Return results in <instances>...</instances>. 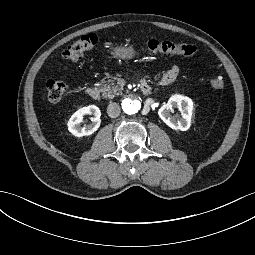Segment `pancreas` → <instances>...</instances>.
Segmentation results:
<instances>
[{
  "instance_id": "obj_1",
  "label": "pancreas",
  "mask_w": 255,
  "mask_h": 255,
  "mask_svg": "<svg viewBox=\"0 0 255 255\" xmlns=\"http://www.w3.org/2000/svg\"><path fill=\"white\" fill-rule=\"evenodd\" d=\"M100 91L102 92V96L104 98H109L112 99L116 95L121 94L122 88L119 87L118 85H115L112 80H102L100 84Z\"/></svg>"
}]
</instances>
